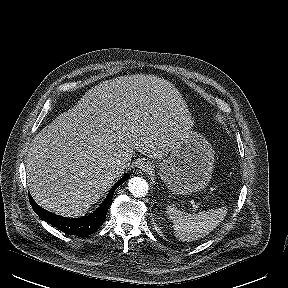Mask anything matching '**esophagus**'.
Wrapping results in <instances>:
<instances>
[{
    "mask_svg": "<svg viewBox=\"0 0 288 288\" xmlns=\"http://www.w3.org/2000/svg\"><path fill=\"white\" fill-rule=\"evenodd\" d=\"M152 170H153V167H152L151 163H149V162L142 161L138 165V171L140 173H151Z\"/></svg>",
    "mask_w": 288,
    "mask_h": 288,
    "instance_id": "obj_1",
    "label": "esophagus"
}]
</instances>
